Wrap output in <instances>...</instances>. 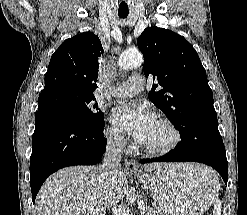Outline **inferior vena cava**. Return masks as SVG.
<instances>
[{"mask_svg":"<svg viewBox=\"0 0 247 215\" xmlns=\"http://www.w3.org/2000/svg\"><path fill=\"white\" fill-rule=\"evenodd\" d=\"M123 146L118 138H109L101 165L103 177L109 182H115L120 167Z\"/></svg>","mask_w":247,"mask_h":215,"instance_id":"obj_1","label":"inferior vena cava"}]
</instances>
